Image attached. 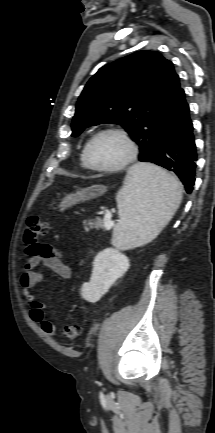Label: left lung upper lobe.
<instances>
[{
  "instance_id": "1",
  "label": "left lung upper lobe",
  "mask_w": 215,
  "mask_h": 433,
  "mask_svg": "<svg viewBox=\"0 0 215 433\" xmlns=\"http://www.w3.org/2000/svg\"><path fill=\"white\" fill-rule=\"evenodd\" d=\"M172 62L156 51H138L103 66L88 81L76 105L72 136L102 123L121 125L151 162L173 104L181 92Z\"/></svg>"
}]
</instances>
